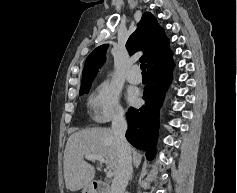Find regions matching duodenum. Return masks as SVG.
Here are the masks:
<instances>
[{"instance_id": "410a0bca", "label": "duodenum", "mask_w": 237, "mask_h": 193, "mask_svg": "<svg viewBox=\"0 0 237 193\" xmlns=\"http://www.w3.org/2000/svg\"><path fill=\"white\" fill-rule=\"evenodd\" d=\"M91 189L92 193H110L109 186L104 181L93 182Z\"/></svg>"}]
</instances>
